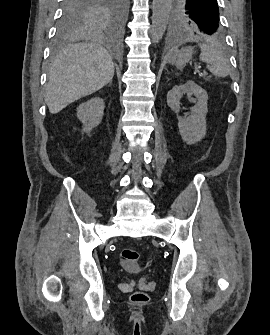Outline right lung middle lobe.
I'll return each instance as SVG.
<instances>
[{
    "mask_svg": "<svg viewBox=\"0 0 270 335\" xmlns=\"http://www.w3.org/2000/svg\"><path fill=\"white\" fill-rule=\"evenodd\" d=\"M126 10V0H64L56 45H62L77 33L99 28L120 29Z\"/></svg>",
    "mask_w": 270,
    "mask_h": 335,
    "instance_id": "right-lung-middle-lobe-1",
    "label": "right lung middle lobe"
}]
</instances>
